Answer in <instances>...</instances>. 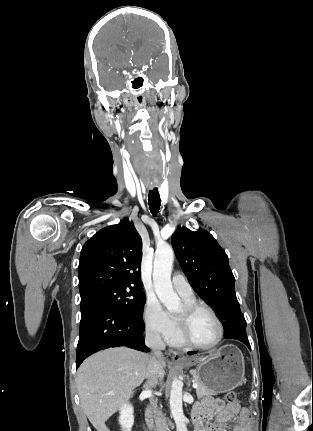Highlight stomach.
I'll use <instances>...</instances> for the list:
<instances>
[{
    "label": "stomach",
    "instance_id": "0dacf381",
    "mask_svg": "<svg viewBox=\"0 0 313 431\" xmlns=\"http://www.w3.org/2000/svg\"><path fill=\"white\" fill-rule=\"evenodd\" d=\"M184 366H196L202 385L214 393H225L244 382V358L238 347L225 345L206 356H193L183 362Z\"/></svg>",
    "mask_w": 313,
    "mask_h": 431
}]
</instances>
